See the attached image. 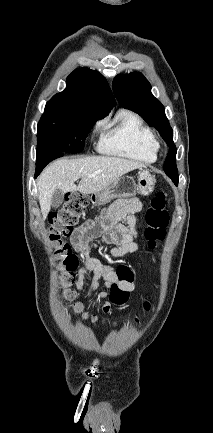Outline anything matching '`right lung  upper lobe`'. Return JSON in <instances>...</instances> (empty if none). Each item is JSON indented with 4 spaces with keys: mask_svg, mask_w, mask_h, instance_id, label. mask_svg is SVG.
Here are the masks:
<instances>
[{
    "mask_svg": "<svg viewBox=\"0 0 213 433\" xmlns=\"http://www.w3.org/2000/svg\"><path fill=\"white\" fill-rule=\"evenodd\" d=\"M64 91L55 94L47 105L73 108L101 119L109 114L116 101L106 79L88 68L74 70L66 80Z\"/></svg>",
    "mask_w": 213,
    "mask_h": 433,
    "instance_id": "1",
    "label": "right lung upper lobe"
}]
</instances>
